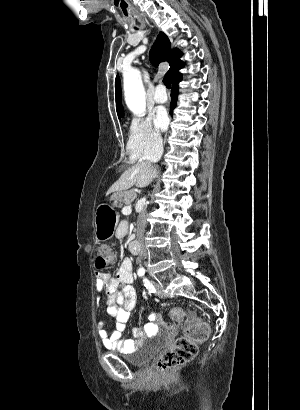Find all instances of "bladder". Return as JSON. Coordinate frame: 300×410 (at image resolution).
<instances>
[{
  "instance_id": "31cf9c89",
  "label": "bladder",
  "mask_w": 300,
  "mask_h": 410,
  "mask_svg": "<svg viewBox=\"0 0 300 410\" xmlns=\"http://www.w3.org/2000/svg\"><path fill=\"white\" fill-rule=\"evenodd\" d=\"M158 345H141L132 353L122 356V360L136 367L145 366L158 352Z\"/></svg>"
}]
</instances>
